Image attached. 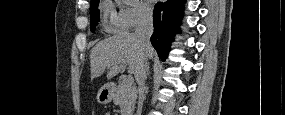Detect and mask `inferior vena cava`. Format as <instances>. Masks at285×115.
Masks as SVG:
<instances>
[{"label":"inferior vena cava","mask_w":285,"mask_h":115,"mask_svg":"<svg viewBox=\"0 0 285 115\" xmlns=\"http://www.w3.org/2000/svg\"><path fill=\"white\" fill-rule=\"evenodd\" d=\"M153 33V17L152 14H143L139 19L135 28L134 36L141 44L143 57L138 70L135 73V78L138 83V90H136L137 109L133 115H140L144 110L145 102H143L146 71L148 66V50L151 47L150 37Z\"/></svg>","instance_id":"1"}]
</instances>
